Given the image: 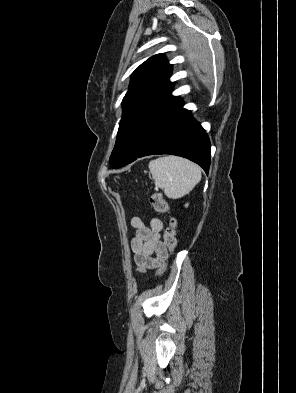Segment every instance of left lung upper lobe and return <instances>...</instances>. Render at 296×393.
Returning a JSON list of instances; mask_svg holds the SVG:
<instances>
[{
  "instance_id": "5c2ea615",
  "label": "left lung upper lobe",
  "mask_w": 296,
  "mask_h": 393,
  "mask_svg": "<svg viewBox=\"0 0 296 393\" xmlns=\"http://www.w3.org/2000/svg\"><path fill=\"white\" fill-rule=\"evenodd\" d=\"M171 71L172 65L162 54H157L133 72L129 90L122 101V118L110 156L113 168L124 166L149 125L177 98L171 96Z\"/></svg>"
}]
</instances>
